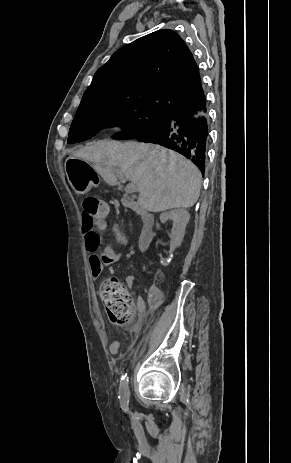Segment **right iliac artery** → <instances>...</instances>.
<instances>
[{
	"instance_id": "right-iliac-artery-1",
	"label": "right iliac artery",
	"mask_w": 291,
	"mask_h": 463,
	"mask_svg": "<svg viewBox=\"0 0 291 463\" xmlns=\"http://www.w3.org/2000/svg\"><path fill=\"white\" fill-rule=\"evenodd\" d=\"M128 377H127V373H124L121 377V381H120V395L119 398L120 399V403H121V408L123 410H127L128 409V405H129V396H130V392H129V387H128Z\"/></svg>"
}]
</instances>
